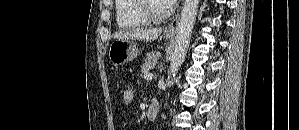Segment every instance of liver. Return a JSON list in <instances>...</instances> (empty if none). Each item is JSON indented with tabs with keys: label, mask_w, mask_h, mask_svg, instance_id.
Returning <instances> with one entry per match:
<instances>
[{
	"label": "liver",
	"mask_w": 299,
	"mask_h": 130,
	"mask_svg": "<svg viewBox=\"0 0 299 130\" xmlns=\"http://www.w3.org/2000/svg\"><path fill=\"white\" fill-rule=\"evenodd\" d=\"M162 33V28H149V29H133L120 32L114 35V38L120 40H144L154 41Z\"/></svg>",
	"instance_id": "1"
}]
</instances>
